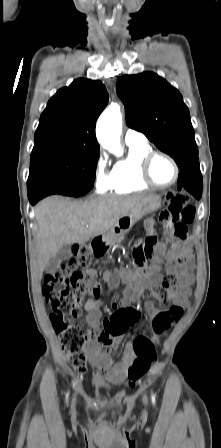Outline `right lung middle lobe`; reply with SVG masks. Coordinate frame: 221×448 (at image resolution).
<instances>
[{"label": "right lung middle lobe", "instance_id": "1", "mask_svg": "<svg viewBox=\"0 0 221 448\" xmlns=\"http://www.w3.org/2000/svg\"><path fill=\"white\" fill-rule=\"evenodd\" d=\"M99 149L81 144L33 148L27 185L52 183L73 192L92 189Z\"/></svg>", "mask_w": 221, "mask_h": 448}]
</instances>
